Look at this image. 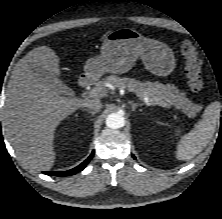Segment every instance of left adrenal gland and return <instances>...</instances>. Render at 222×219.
Here are the masks:
<instances>
[{
	"mask_svg": "<svg viewBox=\"0 0 222 219\" xmlns=\"http://www.w3.org/2000/svg\"><path fill=\"white\" fill-rule=\"evenodd\" d=\"M132 106V111H135L137 107L142 106V104L134 103L133 101H129Z\"/></svg>",
	"mask_w": 222,
	"mask_h": 219,
	"instance_id": "a2214340",
	"label": "left adrenal gland"
}]
</instances>
